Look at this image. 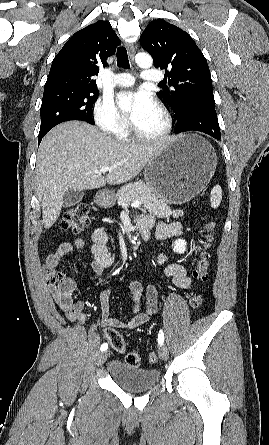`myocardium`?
<instances>
[{
  "instance_id": "myocardium-1",
  "label": "myocardium",
  "mask_w": 269,
  "mask_h": 445,
  "mask_svg": "<svg viewBox=\"0 0 269 445\" xmlns=\"http://www.w3.org/2000/svg\"><path fill=\"white\" fill-rule=\"evenodd\" d=\"M156 107L164 119V127L159 133H157L155 135H146V134H143L142 132H140L136 128L135 125H132V131H133L134 136L142 142L162 141V140L166 139L172 131L173 120H172L171 114L169 113L167 108L161 103H156Z\"/></svg>"
}]
</instances>
